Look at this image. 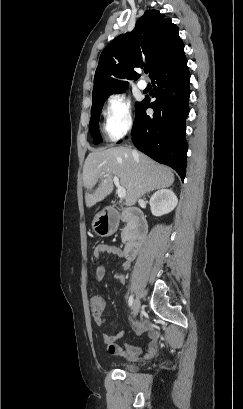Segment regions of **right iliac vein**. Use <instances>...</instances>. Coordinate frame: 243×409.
Segmentation results:
<instances>
[{"label": "right iliac vein", "mask_w": 243, "mask_h": 409, "mask_svg": "<svg viewBox=\"0 0 243 409\" xmlns=\"http://www.w3.org/2000/svg\"><path fill=\"white\" fill-rule=\"evenodd\" d=\"M140 308V301L139 298L137 297L133 303V316H137Z\"/></svg>", "instance_id": "right-iliac-vein-1"}]
</instances>
